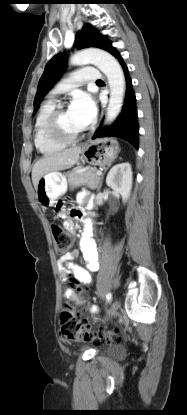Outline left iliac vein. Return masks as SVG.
Listing matches in <instances>:
<instances>
[{"label":"left iliac vein","mask_w":187,"mask_h":415,"mask_svg":"<svg viewBox=\"0 0 187 415\" xmlns=\"http://www.w3.org/2000/svg\"><path fill=\"white\" fill-rule=\"evenodd\" d=\"M119 308H120V301L115 300L108 311L106 319L115 316Z\"/></svg>","instance_id":"1"}]
</instances>
